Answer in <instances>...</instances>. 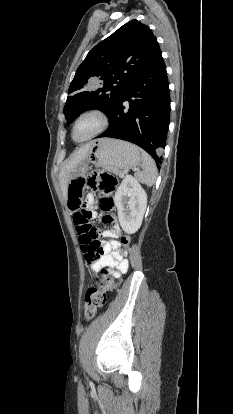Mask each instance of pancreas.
<instances>
[{
	"mask_svg": "<svg viewBox=\"0 0 233 414\" xmlns=\"http://www.w3.org/2000/svg\"><path fill=\"white\" fill-rule=\"evenodd\" d=\"M116 175H118L119 177H124V173L122 171H117L114 172Z\"/></svg>",
	"mask_w": 233,
	"mask_h": 414,
	"instance_id": "cf45deb5",
	"label": "pancreas"
}]
</instances>
